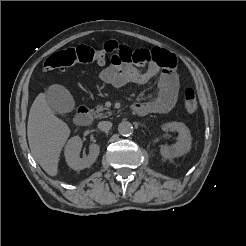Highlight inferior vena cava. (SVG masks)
I'll return each mask as SVG.
<instances>
[{
	"instance_id": "obj_1",
	"label": "inferior vena cava",
	"mask_w": 246,
	"mask_h": 246,
	"mask_svg": "<svg viewBox=\"0 0 246 246\" xmlns=\"http://www.w3.org/2000/svg\"><path fill=\"white\" fill-rule=\"evenodd\" d=\"M112 127V123L110 121H101L98 123V129L103 132H108Z\"/></svg>"
}]
</instances>
